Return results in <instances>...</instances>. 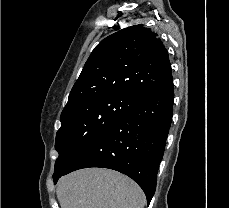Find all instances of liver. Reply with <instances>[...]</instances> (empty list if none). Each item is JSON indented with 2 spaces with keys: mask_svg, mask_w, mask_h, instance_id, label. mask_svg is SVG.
Here are the masks:
<instances>
[{
  "mask_svg": "<svg viewBox=\"0 0 229 208\" xmlns=\"http://www.w3.org/2000/svg\"><path fill=\"white\" fill-rule=\"evenodd\" d=\"M57 198L61 208H144V192L133 180L101 168H88L60 178Z\"/></svg>",
  "mask_w": 229,
  "mask_h": 208,
  "instance_id": "1",
  "label": "liver"
}]
</instances>
